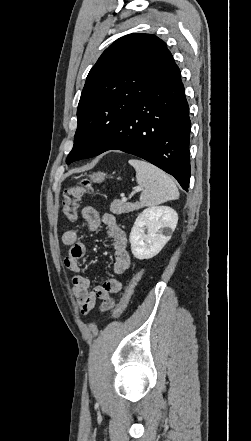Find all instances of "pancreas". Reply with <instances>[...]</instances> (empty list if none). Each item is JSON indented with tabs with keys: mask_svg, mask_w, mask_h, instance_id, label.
<instances>
[{
	"mask_svg": "<svg viewBox=\"0 0 251 441\" xmlns=\"http://www.w3.org/2000/svg\"><path fill=\"white\" fill-rule=\"evenodd\" d=\"M141 208L139 203H126L120 200H114L110 205V211L114 214L129 213Z\"/></svg>",
	"mask_w": 251,
	"mask_h": 441,
	"instance_id": "pancreas-1",
	"label": "pancreas"
}]
</instances>
